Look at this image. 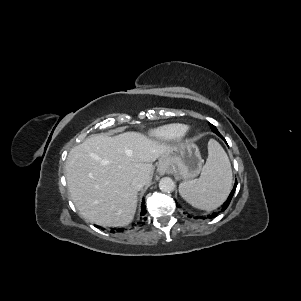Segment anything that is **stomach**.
I'll list each match as a JSON object with an SVG mask.
<instances>
[{
    "mask_svg": "<svg viewBox=\"0 0 301 301\" xmlns=\"http://www.w3.org/2000/svg\"><path fill=\"white\" fill-rule=\"evenodd\" d=\"M202 164L198 147L193 142L187 141L171 147L168 153L161 156L158 169L173 172L182 179H192L202 171Z\"/></svg>",
    "mask_w": 301,
    "mask_h": 301,
    "instance_id": "1",
    "label": "stomach"
}]
</instances>
